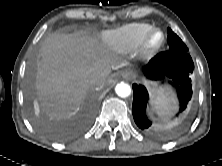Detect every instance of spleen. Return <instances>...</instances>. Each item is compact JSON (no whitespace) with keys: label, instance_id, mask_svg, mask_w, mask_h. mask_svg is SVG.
<instances>
[{"label":"spleen","instance_id":"spleen-1","mask_svg":"<svg viewBox=\"0 0 222 166\" xmlns=\"http://www.w3.org/2000/svg\"><path fill=\"white\" fill-rule=\"evenodd\" d=\"M152 105L156 114L165 119L171 116L177 109V101L171 88L160 86L154 91Z\"/></svg>","mask_w":222,"mask_h":166}]
</instances>
